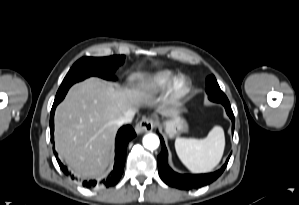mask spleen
<instances>
[{"mask_svg":"<svg viewBox=\"0 0 299 205\" xmlns=\"http://www.w3.org/2000/svg\"><path fill=\"white\" fill-rule=\"evenodd\" d=\"M225 147L222 127L215 126L204 139L178 137L176 153L181 162L192 172L206 173L220 162Z\"/></svg>","mask_w":299,"mask_h":205,"instance_id":"1","label":"spleen"}]
</instances>
